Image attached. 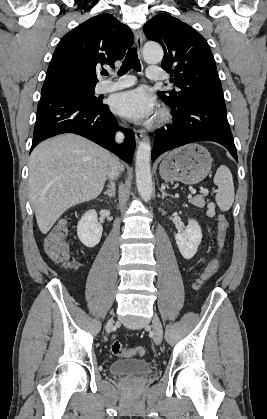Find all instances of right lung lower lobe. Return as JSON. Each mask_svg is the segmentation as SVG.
<instances>
[{
	"label": "right lung lower lobe",
	"mask_w": 267,
	"mask_h": 419,
	"mask_svg": "<svg viewBox=\"0 0 267 419\" xmlns=\"http://www.w3.org/2000/svg\"><path fill=\"white\" fill-rule=\"evenodd\" d=\"M117 130L125 134V141L121 145L114 142ZM62 133H75L88 138L127 163L133 159L134 132L118 126L108 105L102 101L92 105L60 91H41L31 151L41 141Z\"/></svg>",
	"instance_id": "obj_1"
}]
</instances>
